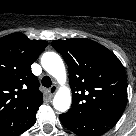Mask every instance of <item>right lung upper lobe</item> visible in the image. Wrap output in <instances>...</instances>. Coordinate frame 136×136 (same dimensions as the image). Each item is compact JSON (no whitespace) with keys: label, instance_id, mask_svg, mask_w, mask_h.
Returning <instances> with one entry per match:
<instances>
[{"label":"right lung upper lobe","instance_id":"1","mask_svg":"<svg viewBox=\"0 0 136 136\" xmlns=\"http://www.w3.org/2000/svg\"><path fill=\"white\" fill-rule=\"evenodd\" d=\"M47 44L21 33L0 38V136H18L34 125L43 95L31 64Z\"/></svg>","mask_w":136,"mask_h":136}]
</instances>
